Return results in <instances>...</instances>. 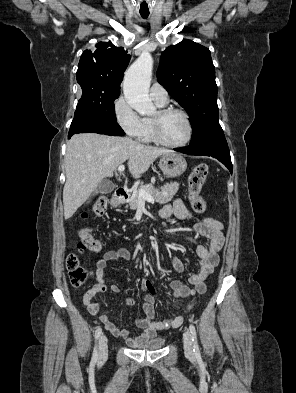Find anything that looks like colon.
<instances>
[{
    "mask_svg": "<svg viewBox=\"0 0 296 393\" xmlns=\"http://www.w3.org/2000/svg\"><path fill=\"white\" fill-rule=\"evenodd\" d=\"M207 172V165L199 164L194 168L193 172L189 176L188 198L193 211L198 214L204 213L207 208L205 199L200 195ZM107 206L108 199L101 196L95 201L92 209L96 215L101 216L106 212ZM80 239L81 240L77 245L79 251L88 249L98 252L102 249L101 242L96 239L88 229L81 230ZM66 264L71 284L75 287L82 286L89 278V271L82 265L80 258L75 254H70L67 258ZM191 308L192 304L188 306V309Z\"/></svg>",
    "mask_w": 296,
    "mask_h": 393,
    "instance_id": "5ec220e1",
    "label": "colon"
}]
</instances>
